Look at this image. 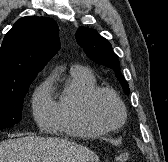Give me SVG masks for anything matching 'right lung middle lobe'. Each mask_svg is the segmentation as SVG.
<instances>
[{"instance_id":"dd1d6c3e","label":"right lung middle lobe","mask_w":168,"mask_h":162,"mask_svg":"<svg viewBox=\"0 0 168 162\" xmlns=\"http://www.w3.org/2000/svg\"><path fill=\"white\" fill-rule=\"evenodd\" d=\"M33 80L27 79L0 86V130L12 127L21 120L24 97Z\"/></svg>"}]
</instances>
